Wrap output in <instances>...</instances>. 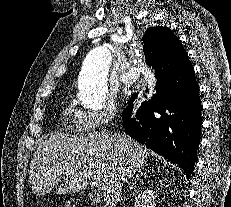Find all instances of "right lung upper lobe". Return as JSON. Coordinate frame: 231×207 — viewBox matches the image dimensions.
I'll use <instances>...</instances> for the list:
<instances>
[{"instance_id": "right-lung-upper-lobe-1", "label": "right lung upper lobe", "mask_w": 231, "mask_h": 207, "mask_svg": "<svg viewBox=\"0 0 231 207\" xmlns=\"http://www.w3.org/2000/svg\"><path fill=\"white\" fill-rule=\"evenodd\" d=\"M143 42L146 63L156 72L162 68H180L190 62L179 39L166 27H156Z\"/></svg>"}]
</instances>
